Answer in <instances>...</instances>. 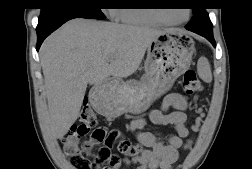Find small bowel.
Listing matches in <instances>:
<instances>
[{
  "label": "small bowel",
  "mask_w": 252,
  "mask_h": 169,
  "mask_svg": "<svg viewBox=\"0 0 252 169\" xmlns=\"http://www.w3.org/2000/svg\"><path fill=\"white\" fill-rule=\"evenodd\" d=\"M170 108L174 111L169 112ZM186 108V97L181 93H171L163 99L159 109L149 112V120L152 123L174 127L175 133L168 136L167 142L144 130L146 126L144 118H136L132 121L131 129L145 147L141 155L133 161L137 165L136 169H172L178 159V150L183 145L182 140L189 135ZM90 143H100V141L92 135ZM130 164V160L124 159L117 168L126 169Z\"/></svg>",
  "instance_id": "c3829d8e"
}]
</instances>
